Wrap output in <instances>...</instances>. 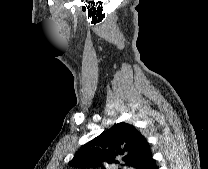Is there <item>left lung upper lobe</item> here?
<instances>
[{
	"label": "left lung upper lobe",
	"instance_id": "1",
	"mask_svg": "<svg viewBox=\"0 0 208 169\" xmlns=\"http://www.w3.org/2000/svg\"><path fill=\"white\" fill-rule=\"evenodd\" d=\"M150 150L146 138L131 124L117 123L102 134L84 144L69 162L72 167L97 168L104 162L122 163L131 169H139Z\"/></svg>",
	"mask_w": 208,
	"mask_h": 169
}]
</instances>
